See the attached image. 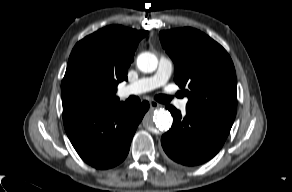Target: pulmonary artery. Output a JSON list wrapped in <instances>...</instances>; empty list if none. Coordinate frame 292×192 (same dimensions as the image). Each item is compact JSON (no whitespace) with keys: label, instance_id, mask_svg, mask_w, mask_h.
Segmentation results:
<instances>
[{"label":"pulmonary artery","instance_id":"e3ab8cb5","mask_svg":"<svg viewBox=\"0 0 292 192\" xmlns=\"http://www.w3.org/2000/svg\"><path fill=\"white\" fill-rule=\"evenodd\" d=\"M173 72V62L170 58L162 55L159 58L156 72L148 77H143L137 81L128 84L119 91L121 97H127L132 94H141L152 91L165 85L170 79ZM176 106L185 111L187 106V99L177 100Z\"/></svg>","mask_w":292,"mask_h":192}]
</instances>
